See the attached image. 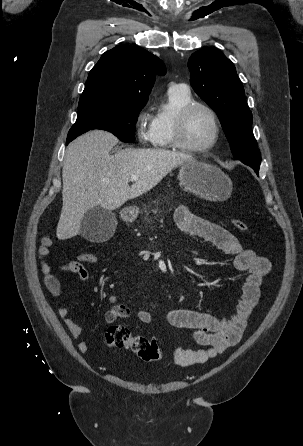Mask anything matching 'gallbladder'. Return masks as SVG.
Segmentation results:
<instances>
[{"label":"gallbladder","instance_id":"bac80fb5","mask_svg":"<svg viewBox=\"0 0 303 446\" xmlns=\"http://www.w3.org/2000/svg\"><path fill=\"white\" fill-rule=\"evenodd\" d=\"M117 222L114 214L100 206L90 209L82 219L80 233L92 242H101L109 239L116 228Z\"/></svg>","mask_w":303,"mask_h":446}]
</instances>
